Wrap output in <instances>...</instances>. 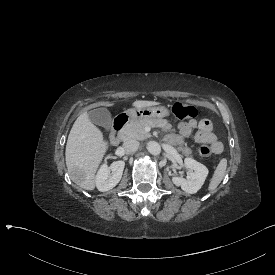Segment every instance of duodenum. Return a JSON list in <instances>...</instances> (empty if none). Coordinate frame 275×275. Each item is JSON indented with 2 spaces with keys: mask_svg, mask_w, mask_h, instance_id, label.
<instances>
[{
  "mask_svg": "<svg viewBox=\"0 0 275 275\" xmlns=\"http://www.w3.org/2000/svg\"><path fill=\"white\" fill-rule=\"evenodd\" d=\"M130 120V116L127 114H121L114 119L112 131L110 134V142L113 145H117L123 136V131Z\"/></svg>",
  "mask_w": 275,
  "mask_h": 275,
  "instance_id": "obj_1",
  "label": "duodenum"
}]
</instances>
